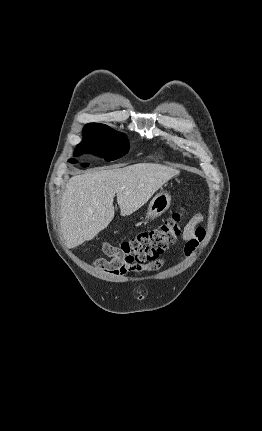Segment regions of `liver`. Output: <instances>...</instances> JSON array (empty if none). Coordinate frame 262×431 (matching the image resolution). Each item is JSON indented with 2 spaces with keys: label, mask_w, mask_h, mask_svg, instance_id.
I'll return each mask as SVG.
<instances>
[{
  "label": "liver",
  "mask_w": 262,
  "mask_h": 431,
  "mask_svg": "<svg viewBox=\"0 0 262 431\" xmlns=\"http://www.w3.org/2000/svg\"><path fill=\"white\" fill-rule=\"evenodd\" d=\"M179 170L155 163L90 171L73 176L61 200V229L68 248L95 238L114 218L113 200L122 216L141 208Z\"/></svg>",
  "instance_id": "obj_1"
}]
</instances>
